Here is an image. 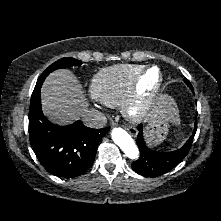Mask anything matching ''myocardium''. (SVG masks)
<instances>
[{
    "label": "myocardium",
    "mask_w": 221,
    "mask_h": 221,
    "mask_svg": "<svg viewBox=\"0 0 221 221\" xmlns=\"http://www.w3.org/2000/svg\"><path fill=\"white\" fill-rule=\"evenodd\" d=\"M152 70H156L158 79L153 89L144 93L140 89L141 81ZM164 83V77L158 66L150 65L143 67L133 78L129 91L121 103L124 117L133 123L144 121L151 113L157 98L160 95Z\"/></svg>",
    "instance_id": "myocardium-1"
}]
</instances>
